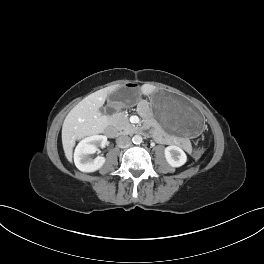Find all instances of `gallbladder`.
Wrapping results in <instances>:
<instances>
[{
  "label": "gallbladder",
  "mask_w": 264,
  "mask_h": 264,
  "mask_svg": "<svg viewBox=\"0 0 264 264\" xmlns=\"http://www.w3.org/2000/svg\"><path fill=\"white\" fill-rule=\"evenodd\" d=\"M99 111L101 112L102 115L106 114L105 108L104 107H100Z\"/></svg>",
  "instance_id": "obj_1"
}]
</instances>
